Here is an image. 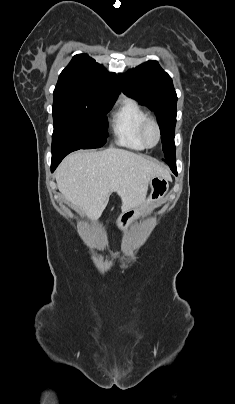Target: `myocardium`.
Returning <instances> with one entry per match:
<instances>
[{
    "mask_svg": "<svg viewBox=\"0 0 235 404\" xmlns=\"http://www.w3.org/2000/svg\"><path fill=\"white\" fill-rule=\"evenodd\" d=\"M151 126L155 128L156 135H157L155 144H149L146 139V132H147L148 128ZM140 139L146 148H154L160 143L161 129H160L159 123L154 118L147 117L144 120V122L142 123L141 128H140Z\"/></svg>",
    "mask_w": 235,
    "mask_h": 404,
    "instance_id": "1",
    "label": "myocardium"
}]
</instances>
